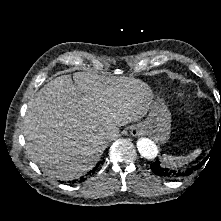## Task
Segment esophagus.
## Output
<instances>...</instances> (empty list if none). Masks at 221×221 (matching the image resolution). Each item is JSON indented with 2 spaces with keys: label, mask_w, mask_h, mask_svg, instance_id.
I'll return each instance as SVG.
<instances>
[{
  "label": "esophagus",
  "mask_w": 221,
  "mask_h": 221,
  "mask_svg": "<svg viewBox=\"0 0 221 221\" xmlns=\"http://www.w3.org/2000/svg\"><path fill=\"white\" fill-rule=\"evenodd\" d=\"M142 134V130L139 126H135L132 128L131 130V135L136 137V136H140Z\"/></svg>",
  "instance_id": "34e87169"
}]
</instances>
